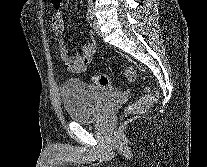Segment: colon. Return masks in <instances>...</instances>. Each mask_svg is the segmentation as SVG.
Segmentation results:
<instances>
[{
	"label": "colon",
	"instance_id": "1",
	"mask_svg": "<svg viewBox=\"0 0 207 167\" xmlns=\"http://www.w3.org/2000/svg\"><path fill=\"white\" fill-rule=\"evenodd\" d=\"M123 75L131 82H135L137 79V73L132 67L125 68L123 70ZM93 81L100 87H110L113 84L112 78L105 74H98L94 76ZM157 99V91L150 88H145L139 100L127 105L124 114L130 115L142 113L152 106L157 101Z\"/></svg>",
	"mask_w": 207,
	"mask_h": 167
}]
</instances>
